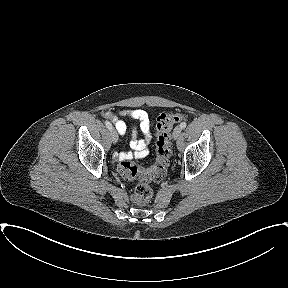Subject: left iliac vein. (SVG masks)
Segmentation results:
<instances>
[{"label": "left iliac vein", "mask_w": 288, "mask_h": 288, "mask_svg": "<svg viewBox=\"0 0 288 288\" xmlns=\"http://www.w3.org/2000/svg\"><path fill=\"white\" fill-rule=\"evenodd\" d=\"M182 128L180 126L175 127L173 131V138L177 139L181 135Z\"/></svg>", "instance_id": "left-iliac-vein-1"}]
</instances>
